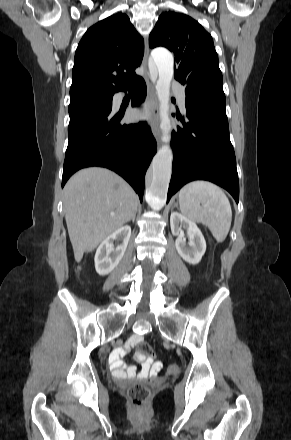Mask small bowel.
I'll list each match as a JSON object with an SVG mask.
<instances>
[{
	"label": "small bowel",
	"instance_id": "small-bowel-1",
	"mask_svg": "<svg viewBox=\"0 0 291 440\" xmlns=\"http://www.w3.org/2000/svg\"><path fill=\"white\" fill-rule=\"evenodd\" d=\"M142 336L133 335L124 345L117 349L116 352L110 358V369L112 374L117 378H138L147 379L155 377L162 369V363L154 362L151 358L138 357V361L141 363L140 371H137L135 366L127 365L121 361L118 357L119 353L129 352L140 340ZM183 369L182 364L176 363L174 370L181 372Z\"/></svg>",
	"mask_w": 291,
	"mask_h": 440
}]
</instances>
